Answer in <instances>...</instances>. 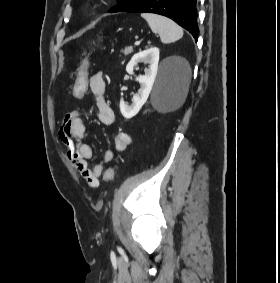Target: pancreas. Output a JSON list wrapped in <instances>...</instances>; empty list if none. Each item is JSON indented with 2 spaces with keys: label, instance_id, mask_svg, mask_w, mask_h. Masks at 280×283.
Instances as JSON below:
<instances>
[{
  "label": "pancreas",
  "instance_id": "1",
  "mask_svg": "<svg viewBox=\"0 0 280 283\" xmlns=\"http://www.w3.org/2000/svg\"><path fill=\"white\" fill-rule=\"evenodd\" d=\"M133 52V47H126L124 50H122V53L125 55V56H128L129 54H131Z\"/></svg>",
  "mask_w": 280,
  "mask_h": 283
}]
</instances>
